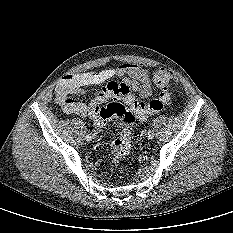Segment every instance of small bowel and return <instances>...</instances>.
Returning <instances> with one entry per match:
<instances>
[{
	"mask_svg": "<svg viewBox=\"0 0 233 233\" xmlns=\"http://www.w3.org/2000/svg\"><path fill=\"white\" fill-rule=\"evenodd\" d=\"M114 77L121 78L122 82L110 81ZM104 83L106 85L93 99L89 107L85 103L72 98L73 96L82 95L86 87ZM121 85L128 87L131 93L137 92L142 98H147L152 94L150 72L142 66L125 63L101 71H89L65 76L55 89L56 101L68 114L82 117L91 116L93 106H99L102 103L122 98L120 93Z\"/></svg>",
	"mask_w": 233,
	"mask_h": 233,
	"instance_id": "c3829d8e",
	"label": "small bowel"
}]
</instances>
